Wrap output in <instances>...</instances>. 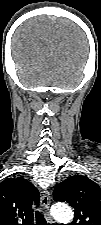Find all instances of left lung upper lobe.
<instances>
[{
  "mask_svg": "<svg viewBox=\"0 0 101 225\" xmlns=\"http://www.w3.org/2000/svg\"><path fill=\"white\" fill-rule=\"evenodd\" d=\"M53 198L74 208L71 225H101V188L91 179L71 176L56 186Z\"/></svg>",
  "mask_w": 101,
  "mask_h": 225,
  "instance_id": "obj_1",
  "label": "left lung upper lobe"
}]
</instances>
